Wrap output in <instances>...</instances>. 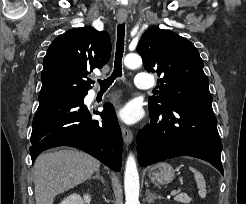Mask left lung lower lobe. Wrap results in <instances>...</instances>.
<instances>
[{"label":"left lung lower lobe","instance_id":"1","mask_svg":"<svg viewBox=\"0 0 246 204\" xmlns=\"http://www.w3.org/2000/svg\"><path fill=\"white\" fill-rule=\"evenodd\" d=\"M137 137L138 162L148 166L178 156H192L211 163L223 175L222 143L211 101H172Z\"/></svg>","mask_w":246,"mask_h":204}]
</instances>
